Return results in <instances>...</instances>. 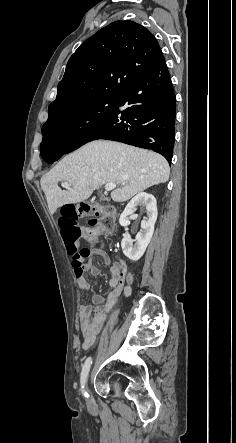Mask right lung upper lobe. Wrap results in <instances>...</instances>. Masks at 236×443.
I'll use <instances>...</instances> for the list:
<instances>
[{
	"instance_id": "obj_1",
	"label": "right lung upper lobe",
	"mask_w": 236,
	"mask_h": 443,
	"mask_svg": "<svg viewBox=\"0 0 236 443\" xmlns=\"http://www.w3.org/2000/svg\"><path fill=\"white\" fill-rule=\"evenodd\" d=\"M162 56L156 38L142 25L129 20L109 24L69 59L49 117L96 96L119 97Z\"/></svg>"
}]
</instances>
